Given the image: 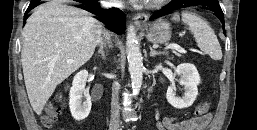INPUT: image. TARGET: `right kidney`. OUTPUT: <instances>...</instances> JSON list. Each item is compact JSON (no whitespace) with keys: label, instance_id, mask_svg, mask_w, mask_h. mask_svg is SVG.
<instances>
[{"label":"right kidney","instance_id":"1","mask_svg":"<svg viewBox=\"0 0 257 130\" xmlns=\"http://www.w3.org/2000/svg\"><path fill=\"white\" fill-rule=\"evenodd\" d=\"M88 72L82 70L78 72L72 82V87L69 93V108L72 117L76 121L84 120L91 110V98L85 90Z\"/></svg>","mask_w":257,"mask_h":130}]
</instances>
